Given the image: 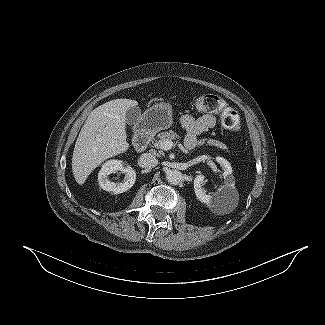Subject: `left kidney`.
<instances>
[{"label":"left kidney","instance_id":"left-kidney-1","mask_svg":"<svg viewBox=\"0 0 325 325\" xmlns=\"http://www.w3.org/2000/svg\"><path fill=\"white\" fill-rule=\"evenodd\" d=\"M216 161L223 169L224 185L214 194H207V191L203 188L204 176L198 175L194 179V190L197 198L208 206L217 202L225 193H235V179L232 175V167L230 163L223 157H216Z\"/></svg>","mask_w":325,"mask_h":325}]
</instances>
